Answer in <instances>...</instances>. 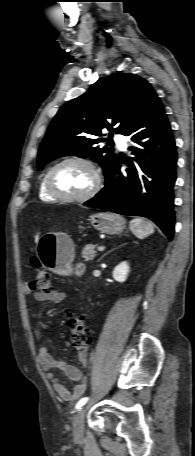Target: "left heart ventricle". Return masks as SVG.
<instances>
[{
	"label": "left heart ventricle",
	"instance_id": "b2bd125f",
	"mask_svg": "<svg viewBox=\"0 0 195 456\" xmlns=\"http://www.w3.org/2000/svg\"><path fill=\"white\" fill-rule=\"evenodd\" d=\"M52 182L57 191L68 196L85 194L93 184L91 170L80 163H67L53 174Z\"/></svg>",
	"mask_w": 195,
	"mask_h": 456
}]
</instances>
